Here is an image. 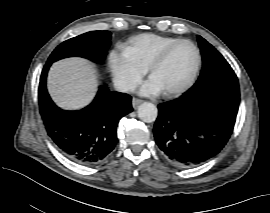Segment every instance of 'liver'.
Returning <instances> with one entry per match:
<instances>
[{
	"label": "liver",
	"mask_w": 270,
	"mask_h": 213,
	"mask_svg": "<svg viewBox=\"0 0 270 213\" xmlns=\"http://www.w3.org/2000/svg\"><path fill=\"white\" fill-rule=\"evenodd\" d=\"M97 79L92 65L84 59L61 60L50 69L48 90L58 106L64 109H80L94 97Z\"/></svg>",
	"instance_id": "1"
}]
</instances>
